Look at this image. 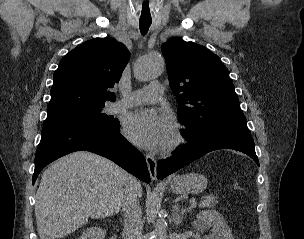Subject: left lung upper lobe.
I'll list each match as a JSON object with an SVG mask.
<instances>
[{"mask_svg": "<svg viewBox=\"0 0 304 239\" xmlns=\"http://www.w3.org/2000/svg\"><path fill=\"white\" fill-rule=\"evenodd\" d=\"M162 53L188 141L223 130L249 131L229 72L217 55L178 38L165 42Z\"/></svg>", "mask_w": 304, "mask_h": 239, "instance_id": "left-lung-upper-lobe-1", "label": "left lung upper lobe"}]
</instances>
